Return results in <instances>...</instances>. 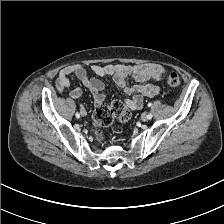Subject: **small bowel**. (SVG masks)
I'll list each match as a JSON object with an SVG mask.
<instances>
[{
	"mask_svg": "<svg viewBox=\"0 0 224 224\" xmlns=\"http://www.w3.org/2000/svg\"><path fill=\"white\" fill-rule=\"evenodd\" d=\"M91 70L99 77H112L115 84L131 98L124 104L130 110H139L143 106L144 97H154L160 93V87L150 81H160L163 78L165 69L158 64L146 63L140 65L124 64H94ZM75 75L78 80L90 90L94 98V104L99 106L105 101L104 84L101 80L90 77L87 67L83 64H75L65 67L59 71L56 87L62 92L70 89L69 75ZM134 79L137 84L129 85L127 80ZM82 90L75 88L70 92L74 99L80 98Z\"/></svg>",
	"mask_w": 224,
	"mask_h": 224,
	"instance_id": "small-bowel-1",
	"label": "small bowel"
}]
</instances>
